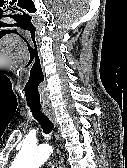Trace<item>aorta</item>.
<instances>
[{
  "mask_svg": "<svg viewBox=\"0 0 127 168\" xmlns=\"http://www.w3.org/2000/svg\"><path fill=\"white\" fill-rule=\"evenodd\" d=\"M51 149L47 145H24L11 168H39L49 158Z\"/></svg>",
  "mask_w": 127,
  "mask_h": 168,
  "instance_id": "obj_1",
  "label": "aorta"
}]
</instances>
